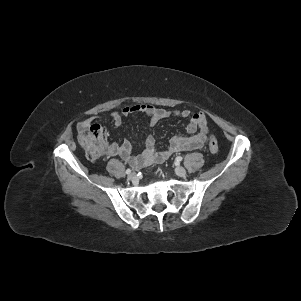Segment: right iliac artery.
Instances as JSON below:
<instances>
[{"label": "right iliac artery", "mask_w": 301, "mask_h": 301, "mask_svg": "<svg viewBox=\"0 0 301 301\" xmlns=\"http://www.w3.org/2000/svg\"><path fill=\"white\" fill-rule=\"evenodd\" d=\"M130 173H131V169H127L126 174H130Z\"/></svg>", "instance_id": "right-iliac-artery-1"}]
</instances>
